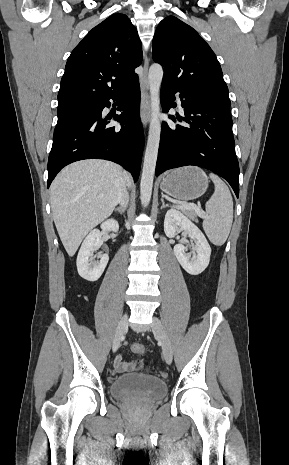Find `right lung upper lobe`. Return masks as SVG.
I'll return each mask as SVG.
<instances>
[{
	"instance_id": "1",
	"label": "right lung upper lobe",
	"mask_w": 289,
	"mask_h": 465,
	"mask_svg": "<svg viewBox=\"0 0 289 465\" xmlns=\"http://www.w3.org/2000/svg\"><path fill=\"white\" fill-rule=\"evenodd\" d=\"M141 41L130 19L113 14L94 27L69 56L58 102L99 101L118 94L138 78Z\"/></svg>"
}]
</instances>
